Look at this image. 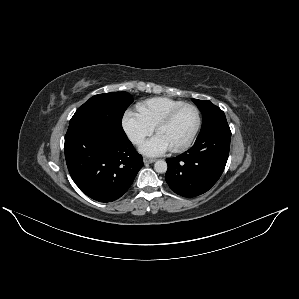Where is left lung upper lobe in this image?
<instances>
[{
	"label": "left lung upper lobe",
	"instance_id": "left-lung-upper-lobe-1",
	"mask_svg": "<svg viewBox=\"0 0 299 299\" xmlns=\"http://www.w3.org/2000/svg\"><path fill=\"white\" fill-rule=\"evenodd\" d=\"M192 100L198 106L203 116L199 135L216 126L228 125L224 112L218 106L212 104L209 100Z\"/></svg>",
	"mask_w": 299,
	"mask_h": 299
}]
</instances>
